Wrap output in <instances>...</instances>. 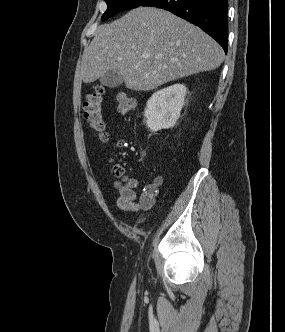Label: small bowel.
I'll return each mask as SVG.
<instances>
[{
  "label": "small bowel",
  "instance_id": "small-bowel-1",
  "mask_svg": "<svg viewBox=\"0 0 285 332\" xmlns=\"http://www.w3.org/2000/svg\"><path fill=\"white\" fill-rule=\"evenodd\" d=\"M163 177L157 175L146 183L143 191L138 194L139 181L132 175H125L121 180L114 182V188L118 192L116 205L123 211H146L151 208Z\"/></svg>",
  "mask_w": 285,
  "mask_h": 332
}]
</instances>
